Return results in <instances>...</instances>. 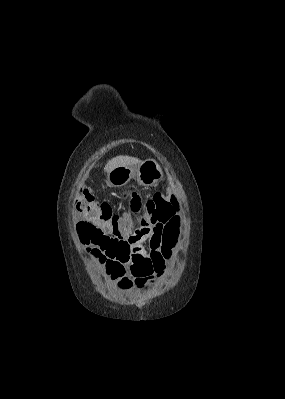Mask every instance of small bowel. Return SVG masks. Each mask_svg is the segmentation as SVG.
Listing matches in <instances>:
<instances>
[{
    "label": "small bowel",
    "mask_w": 285,
    "mask_h": 399,
    "mask_svg": "<svg viewBox=\"0 0 285 399\" xmlns=\"http://www.w3.org/2000/svg\"><path fill=\"white\" fill-rule=\"evenodd\" d=\"M153 218L154 214L152 213L148 216L147 222L143 224L139 229H135L133 233H131V227L126 224H122L118 228V235L124 239H128L132 243V246L136 250V253L144 258H150L152 253L158 251L164 243V230L157 229L155 225L152 224ZM179 226V222L176 221L171 228V231L177 233L179 231ZM143 241L149 242L148 249H144L141 246V242ZM105 264L109 268L108 263ZM124 274L125 273L123 270L122 274L114 278L117 279L116 282L118 283L119 288L123 291L127 290V288L123 287L122 285L123 281L126 279L124 277Z\"/></svg>",
    "instance_id": "small-bowel-1"
}]
</instances>
